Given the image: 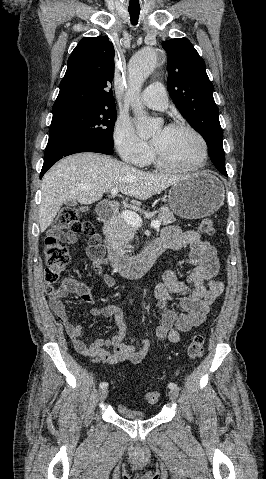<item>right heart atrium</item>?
Instances as JSON below:
<instances>
[{"instance_id":"d8ad5b80","label":"right heart atrium","mask_w":266,"mask_h":479,"mask_svg":"<svg viewBox=\"0 0 266 479\" xmlns=\"http://www.w3.org/2000/svg\"><path fill=\"white\" fill-rule=\"evenodd\" d=\"M113 141L123 161L135 166H145L152 157L149 145L141 140L129 122L123 119L116 121Z\"/></svg>"}]
</instances>
